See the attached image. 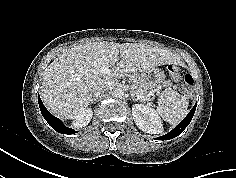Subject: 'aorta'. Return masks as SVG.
I'll return each mask as SVG.
<instances>
[{
	"label": "aorta",
	"instance_id": "aorta-1",
	"mask_svg": "<svg viewBox=\"0 0 236 178\" xmlns=\"http://www.w3.org/2000/svg\"><path fill=\"white\" fill-rule=\"evenodd\" d=\"M124 95V91L121 88H115L113 90V96L116 98H122Z\"/></svg>",
	"mask_w": 236,
	"mask_h": 178
}]
</instances>
